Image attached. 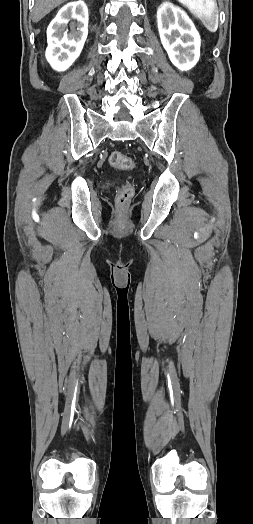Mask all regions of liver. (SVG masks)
Segmentation results:
<instances>
[{
    "label": "liver",
    "mask_w": 253,
    "mask_h": 524,
    "mask_svg": "<svg viewBox=\"0 0 253 524\" xmlns=\"http://www.w3.org/2000/svg\"><path fill=\"white\" fill-rule=\"evenodd\" d=\"M68 0H36L33 9V21L38 22L57 6Z\"/></svg>",
    "instance_id": "obj_1"
}]
</instances>
